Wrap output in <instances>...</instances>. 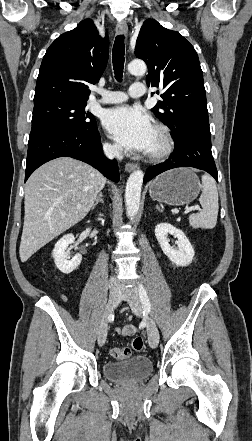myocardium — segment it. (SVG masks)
<instances>
[{
	"instance_id": "f54148a6",
	"label": "myocardium",
	"mask_w": 252,
	"mask_h": 441,
	"mask_svg": "<svg viewBox=\"0 0 252 441\" xmlns=\"http://www.w3.org/2000/svg\"><path fill=\"white\" fill-rule=\"evenodd\" d=\"M155 132L159 136L161 146L158 150L149 151L147 156L149 159L159 161L169 156L173 150L174 142L169 129L164 125H157Z\"/></svg>"
}]
</instances>
